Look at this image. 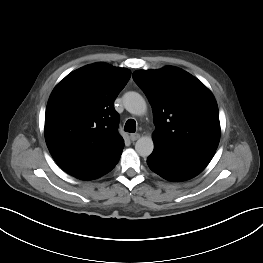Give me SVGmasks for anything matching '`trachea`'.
Masks as SVG:
<instances>
[{"mask_svg": "<svg viewBox=\"0 0 263 263\" xmlns=\"http://www.w3.org/2000/svg\"><path fill=\"white\" fill-rule=\"evenodd\" d=\"M124 131L129 133H134L136 131V121L134 119L127 120Z\"/></svg>", "mask_w": 263, "mask_h": 263, "instance_id": "trachea-1", "label": "trachea"}]
</instances>
